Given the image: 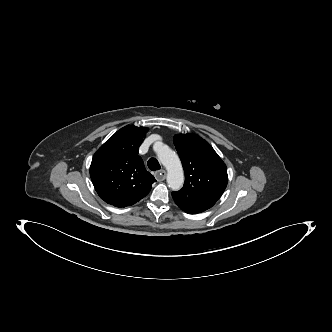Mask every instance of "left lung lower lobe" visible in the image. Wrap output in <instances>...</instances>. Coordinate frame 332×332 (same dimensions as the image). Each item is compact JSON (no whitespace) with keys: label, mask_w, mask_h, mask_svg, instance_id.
Returning <instances> with one entry per match:
<instances>
[{"label":"left lung lower lobe","mask_w":332,"mask_h":332,"mask_svg":"<svg viewBox=\"0 0 332 332\" xmlns=\"http://www.w3.org/2000/svg\"><path fill=\"white\" fill-rule=\"evenodd\" d=\"M183 211H185L186 213H189V214H197V213H193V212H190V211H187V210H184L183 208H181Z\"/></svg>","instance_id":"0a47b994"}]
</instances>
